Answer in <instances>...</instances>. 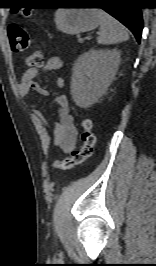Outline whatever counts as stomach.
<instances>
[{
    "label": "stomach",
    "mask_w": 156,
    "mask_h": 266,
    "mask_svg": "<svg viewBox=\"0 0 156 266\" xmlns=\"http://www.w3.org/2000/svg\"><path fill=\"white\" fill-rule=\"evenodd\" d=\"M55 23L59 31L74 35L95 29L100 20L96 9L60 8L55 13Z\"/></svg>",
    "instance_id": "obj_1"
}]
</instances>
